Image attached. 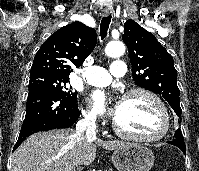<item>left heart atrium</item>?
I'll use <instances>...</instances> for the list:
<instances>
[{
	"label": "left heart atrium",
	"instance_id": "1",
	"mask_svg": "<svg viewBox=\"0 0 199 171\" xmlns=\"http://www.w3.org/2000/svg\"><path fill=\"white\" fill-rule=\"evenodd\" d=\"M90 102L93 106V108L99 112V113H106L110 116H112L114 119L116 118L121 101H115L114 104L110 107H106V95L103 91H95L90 96Z\"/></svg>",
	"mask_w": 199,
	"mask_h": 171
}]
</instances>
